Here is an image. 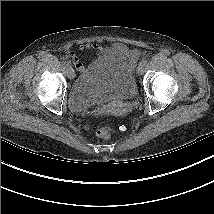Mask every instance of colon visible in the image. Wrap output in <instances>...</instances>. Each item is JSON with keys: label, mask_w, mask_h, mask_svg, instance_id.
Segmentation results:
<instances>
[{"label": "colon", "mask_w": 214, "mask_h": 214, "mask_svg": "<svg viewBox=\"0 0 214 214\" xmlns=\"http://www.w3.org/2000/svg\"><path fill=\"white\" fill-rule=\"evenodd\" d=\"M111 128L109 126L99 127L96 130V135L103 139H108L110 137Z\"/></svg>", "instance_id": "colon-1"}]
</instances>
